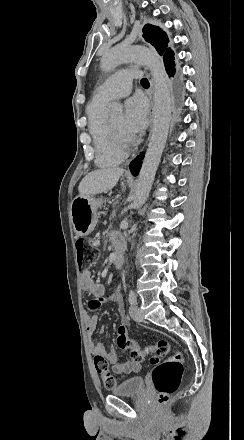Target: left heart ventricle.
<instances>
[{"label": "left heart ventricle", "instance_id": "b2bd125f", "mask_svg": "<svg viewBox=\"0 0 244 440\" xmlns=\"http://www.w3.org/2000/svg\"><path fill=\"white\" fill-rule=\"evenodd\" d=\"M106 121L116 131L123 129V127H124V120H123V116L122 115L111 116Z\"/></svg>", "mask_w": 244, "mask_h": 440}]
</instances>
